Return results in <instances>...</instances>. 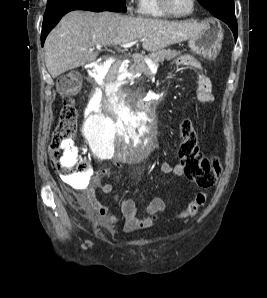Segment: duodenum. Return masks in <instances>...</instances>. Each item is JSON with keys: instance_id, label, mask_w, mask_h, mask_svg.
Segmentation results:
<instances>
[{"instance_id": "1", "label": "duodenum", "mask_w": 267, "mask_h": 298, "mask_svg": "<svg viewBox=\"0 0 267 298\" xmlns=\"http://www.w3.org/2000/svg\"><path fill=\"white\" fill-rule=\"evenodd\" d=\"M127 65L125 60L118 62V67H113V76L109 82H106V87H116L117 89H122L123 85L118 79H129V74H124V67ZM125 98H137L134 101L135 105H145V107H140L139 115H156L159 112V104L157 103V98H147V93H125Z\"/></svg>"}]
</instances>
